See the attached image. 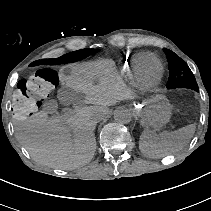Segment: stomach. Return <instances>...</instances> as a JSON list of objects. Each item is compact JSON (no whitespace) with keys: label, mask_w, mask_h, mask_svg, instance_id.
<instances>
[{"label":"stomach","mask_w":211,"mask_h":211,"mask_svg":"<svg viewBox=\"0 0 211 211\" xmlns=\"http://www.w3.org/2000/svg\"><path fill=\"white\" fill-rule=\"evenodd\" d=\"M171 104L163 95H156L149 102L136 108L141 125L145 127L159 128L169 122L171 116Z\"/></svg>","instance_id":"stomach-1"}]
</instances>
